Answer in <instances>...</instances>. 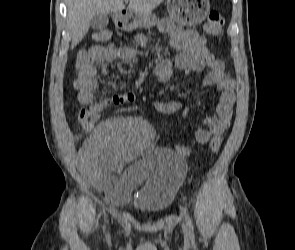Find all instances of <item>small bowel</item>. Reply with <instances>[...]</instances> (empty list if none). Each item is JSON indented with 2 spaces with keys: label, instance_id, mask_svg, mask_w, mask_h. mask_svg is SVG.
I'll return each instance as SVG.
<instances>
[{
  "label": "small bowel",
  "instance_id": "c3829d8e",
  "mask_svg": "<svg viewBox=\"0 0 295 250\" xmlns=\"http://www.w3.org/2000/svg\"><path fill=\"white\" fill-rule=\"evenodd\" d=\"M159 30L170 36L169 46L178 52L174 60L163 58L157 62L155 75L163 82L168 81L173 69L187 74H202L204 87H216L220 92L215 116L205 118L207 128L197 129L195 139L200 144L219 141L228 129L235 103L234 80L224 72V62L206 47V39L198 32L182 29L168 20L159 23ZM143 44V39L138 38ZM137 51L129 47L113 44L95 45L89 48L85 61H76L77 75L74 88L80 104L94 106L100 112L111 104H123L134 99V93L128 91L114 95L103 101L96 99V90L101 76H106L107 62L133 60ZM182 107L180 102H158L155 108L163 114H173ZM155 143L153 128L140 117H120L103 122L85 141L82 149L83 172L117 200H126L132 190L140 186L147 178L146 160L139 157L143 150ZM177 152L187 155V147L178 146ZM132 161L120 176L113 171L122 163Z\"/></svg>",
  "mask_w": 295,
  "mask_h": 250
}]
</instances>
